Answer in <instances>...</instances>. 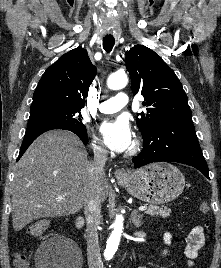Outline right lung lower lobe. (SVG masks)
<instances>
[{
    "label": "right lung lower lobe",
    "mask_w": 221,
    "mask_h": 268,
    "mask_svg": "<svg viewBox=\"0 0 221 268\" xmlns=\"http://www.w3.org/2000/svg\"><path fill=\"white\" fill-rule=\"evenodd\" d=\"M53 129H63L68 130L76 134L83 142L84 145L88 143L87 139V132L86 131H80L78 129H67L63 127H53V126H38V127H32L28 128L25 133L24 140L21 145L20 153L18 156L17 161L21 158V156L24 154L26 149L30 146V144L42 133L53 130Z\"/></svg>",
    "instance_id": "obj_1"
}]
</instances>
